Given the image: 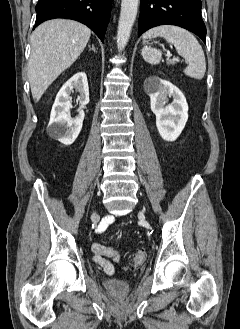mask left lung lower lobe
<instances>
[{
  "label": "left lung lower lobe",
  "instance_id": "0a47b994",
  "mask_svg": "<svg viewBox=\"0 0 240 329\" xmlns=\"http://www.w3.org/2000/svg\"><path fill=\"white\" fill-rule=\"evenodd\" d=\"M201 0H141L139 36L159 25H176L198 35L206 43Z\"/></svg>",
  "mask_w": 240,
  "mask_h": 329
}]
</instances>
